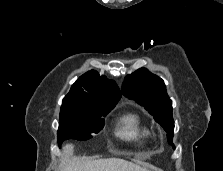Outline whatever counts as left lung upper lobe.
Segmentation results:
<instances>
[{
	"mask_svg": "<svg viewBox=\"0 0 223 171\" xmlns=\"http://www.w3.org/2000/svg\"><path fill=\"white\" fill-rule=\"evenodd\" d=\"M123 93L143 106L154 117L167 132L168 143L172 144L174 135L172 101L167 95L164 81L146 68H140L126 76Z\"/></svg>",
	"mask_w": 223,
	"mask_h": 171,
	"instance_id": "1",
	"label": "left lung upper lobe"
}]
</instances>
